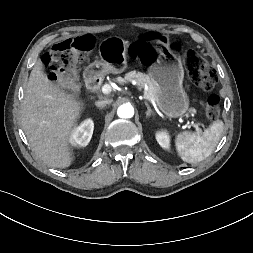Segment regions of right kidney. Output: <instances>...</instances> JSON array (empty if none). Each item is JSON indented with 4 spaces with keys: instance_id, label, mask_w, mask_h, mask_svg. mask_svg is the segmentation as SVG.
<instances>
[{
    "instance_id": "ca27d5eb",
    "label": "right kidney",
    "mask_w": 253,
    "mask_h": 253,
    "mask_svg": "<svg viewBox=\"0 0 253 253\" xmlns=\"http://www.w3.org/2000/svg\"><path fill=\"white\" fill-rule=\"evenodd\" d=\"M94 123L91 119L84 120L78 127L74 128L70 136V143L74 146L84 147L91 140Z\"/></svg>"
}]
</instances>
